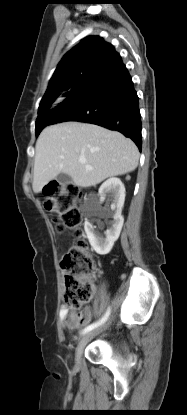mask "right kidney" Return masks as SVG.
<instances>
[{
	"instance_id": "obj_1",
	"label": "right kidney",
	"mask_w": 187,
	"mask_h": 415,
	"mask_svg": "<svg viewBox=\"0 0 187 415\" xmlns=\"http://www.w3.org/2000/svg\"><path fill=\"white\" fill-rule=\"evenodd\" d=\"M100 199H104L108 196L111 201V210L101 208L98 205L99 215L102 217L112 216L114 219L111 227L105 232L106 237L99 236L92 223L85 221L84 229L87 234V238L91 247L96 253L100 255L108 254L115 241L118 239L124 218L121 215L122 208L125 200V187L119 178H110L106 180L99 188Z\"/></svg>"
}]
</instances>
